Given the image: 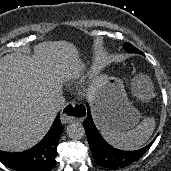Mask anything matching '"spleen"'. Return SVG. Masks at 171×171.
Instances as JSON below:
<instances>
[{
    "mask_svg": "<svg viewBox=\"0 0 171 171\" xmlns=\"http://www.w3.org/2000/svg\"><path fill=\"white\" fill-rule=\"evenodd\" d=\"M97 125L105 140L114 147L122 150H137L152 136L156 123L154 118L146 117L134 129L123 132L99 121Z\"/></svg>",
    "mask_w": 171,
    "mask_h": 171,
    "instance_id": "1",
    "label": "spleen"
}]
</instances>
